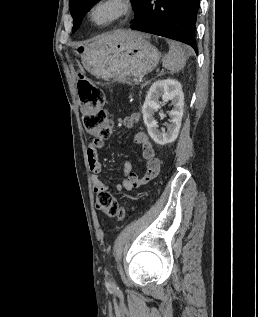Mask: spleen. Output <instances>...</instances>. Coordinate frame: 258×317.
Segmentation results:
<instances>
[{
  "label": "spleen",
  "mask_w": 258,
  "mask_h": 317,
  "mask_svg": "<svg viewBox=\"0 0 258 317\" xmlns=\"http://www.w3.org/2000/svg\"><path fill=\"white\" fill-rule=\"evenodd\" d=\"M170 50L163 58V66L170 68L171 72H178L181 68H184L186 60L190 54H192V48L186 46V50L181 48L178 42H169Z\"/></svg>",
  "instance_id": "obj_1"
}]
</instances>
